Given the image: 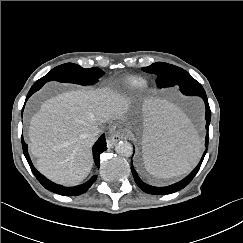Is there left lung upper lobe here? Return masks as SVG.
I'll return each instance as SVG.
<instances>
[{
    "mask_svg": "<svg viewBox=\"0 0 243 243\" xmlns=\"http://www.w3.org/2000/svg\"><path fill=\"white\" fill-rule=\"evenodd\" d=\"M143 70L158 76L157 84L159 88L174 85L182 88L199 83L184 69L168 63L156 62L148 67H144Z\"/></svg>",
    "mask_w": 243,
    "mask_h": 243,
    "instance_id": "5c2ea615",
    "label": "left lung upper lobe"
}]
</instances>
